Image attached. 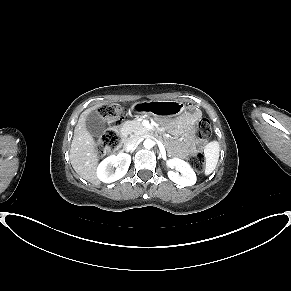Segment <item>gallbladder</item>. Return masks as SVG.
Instances as JSON below:
<instances>
[{"instance_id": "bac80fb5", "label": "gallbladder", "mask_w": 291, "mask_h": 291, "mask_svg": "<svg viewBox=\"0 0 291 291\" xmlns=\"http://www.w3.org/2000/svg\"><path fill=\"white\" fill-rule=\"evenodd\" d=\"M88 132L94 136L99 137L106 129V124L103 117L98 112H92L86 117L85 122Z\"/></svg>"}]
</instances>
